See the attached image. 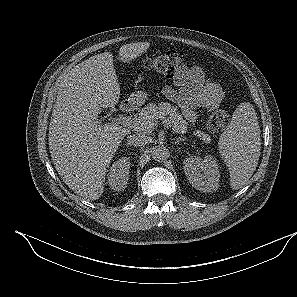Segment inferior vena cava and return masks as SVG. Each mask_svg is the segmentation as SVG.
I'll list each match as a JSON object with an SVG mask.
<instances>
[{
	"label": "inferior vena cava",
	"mask_w": 297,
	"mask_h": 297,
	"mask_svg": "<svg viewBox=\"0 0 297 297\" xmlns=\"http://www.w3.org/2000/svg\"><path fill=\"white\" fill-rule=\"evenodd\" d=\"M127 143L133 146H144L148 143V137L144 134H131L127 136Z\"/></svg>",
	"instance_id": "obj_1"
}]
</instances>
